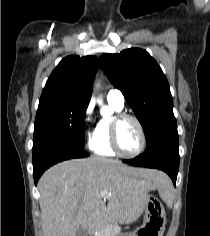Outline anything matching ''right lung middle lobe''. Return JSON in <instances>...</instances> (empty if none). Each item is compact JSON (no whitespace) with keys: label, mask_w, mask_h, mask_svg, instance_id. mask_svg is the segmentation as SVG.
I'll list each match as a JSON object with an SVG mask.
<instances>
[{"label":"right lung middle lobe","mask_w":210,"mask_h":236,"mask_svg":"<svg viewBox=\"0 0 210 236\" xmlns=\"http://www.w3.org/2000/svg\"><path fill=\"white\" fill-rule=\"evenodd\" d=\"M87 106L72 101L39 104L33 144L56 140L84 148V117Z\"/></svg>","instance_id":"obj_1"}]
</instances>
